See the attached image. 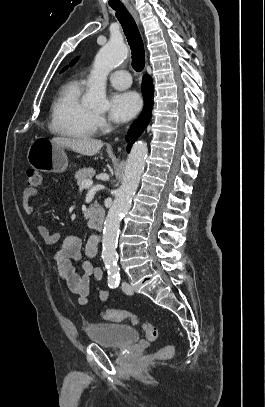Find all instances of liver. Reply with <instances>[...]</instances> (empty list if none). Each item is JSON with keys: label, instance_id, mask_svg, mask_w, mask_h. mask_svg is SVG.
<instances>
[{"label": "liver", "instance_id": "1", "mask_svg": "<svg viewBox=\"0 0 265 407\" xmlns=\"http://www.w3.org/2000/svg\"><path fill=\"white\" fill-rule=\"evenodd\" d=\"M52 143L59 145L61 147H66L72 149L86 156H93L97 154L103 147V142L101 140L92 138H65V137H54L51 140Z\"/></svg>", "mask_w": 265, "mask_h": 407}]
</instances>
